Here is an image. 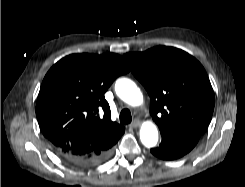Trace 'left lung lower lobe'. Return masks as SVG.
Here are the masks:
<instances>
[{
	"instance_id": "0a47b994",
	"label": "left lung lower lobe",
	"mask_w": 245,
	"mask_h": 187,
	"mask_svg": "<svg viewBox=\"0 0 245 187\" xmlns=\"http://www.w3.org/2000/svg\"><path fill=\"white\" fill-rule=\"evenodd\" d=\"M159 147L151 149V153L163 160H175L189 153L197 144L200 134H167L161 133Z\"/></svg>"
}]
</instances>
